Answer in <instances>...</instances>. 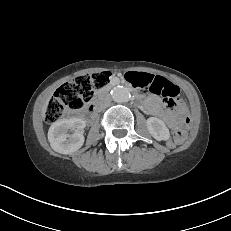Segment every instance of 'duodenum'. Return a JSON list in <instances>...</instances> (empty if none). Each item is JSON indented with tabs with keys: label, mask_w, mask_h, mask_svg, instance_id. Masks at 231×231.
<instances>
[{
	"label": "duodenum",
	"mask_w": 231,
	"mask_h": 231,
	"mask_svg": "<svg viewBox=\"0 0 231 231\" xmlns=\"http://www.w3.org/2000/svg\"><path fill=\"white\" fill-rule=\"evenodd\" d=\"M144 99H146V97H144ZM100 103V99H96L95 101H93L89 107H88V111L89 112H93L95 111V109L99 106Z\"/></svg>",
	"instance_id": "obj_1"
}]
</instances>
